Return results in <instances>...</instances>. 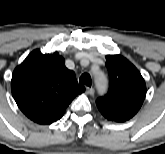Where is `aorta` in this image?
I'll use <instances>...</instances> for the list:
<instances>
[{"mask_svg": "<svg viewBox=\"0 0 165 154\" xmlns=\"http://www.w3.org/2000/svg\"><path fill=\"white\" fill-rule=\"evenodd\" d=\"M96 79H97V81L100 80L102 82L99 85V88L101 90H105L107 88V84H108V81H107V78L105 77V75L100 73V74L96 75Z\"/></svg>", "mask_w": 165, "mask_h": 154, "instance_id": "762f6f07", "label": "aorta"}]
</instances>
